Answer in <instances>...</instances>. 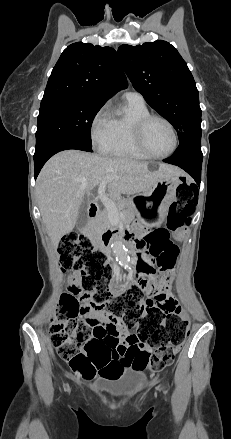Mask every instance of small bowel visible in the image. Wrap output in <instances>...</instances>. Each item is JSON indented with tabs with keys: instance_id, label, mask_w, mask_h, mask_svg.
<instances>
[{
	"instance_id": "1",
	"label": "small bowel",
	"mask_w": 231,
	"mask_h": 439,
	"mask_svg": "<svg viewBox=\"0 0 231 439\" xmlns=\"http://www.w3.org/2000/svg\"><path fill=\"white\" fill-rule=\"evenodd\" d=\"M128 239L134 240V237L128 235ZM135 248L140 252L139 263L147 264L154 263L159 255L167 250L176 249L169 230L165 228L151 231L143 241H136ZM151 280L157 288L156 290L149 291L150 298L146 300V307L156 305L163 310L174 308L177 300L170 293L172 276L167 274L158 281ZM80 285L81 276L75 272L71 277L69 290L70 292L78 291V296L83 303L80 309V316L81 321L91 330V344L103 343L107 347L112 348L119 355V358L123 360L133 351L149 352V349L140 343L136 334L128 332L127 327L121 322L114 320L103 308L95 307L90 303V294L82 291ZM121 290L122 286L116 284L113 291L119 293ZM130 367L131 365L129 364L126 368Z\"/></svg>"
}]
</instances>
